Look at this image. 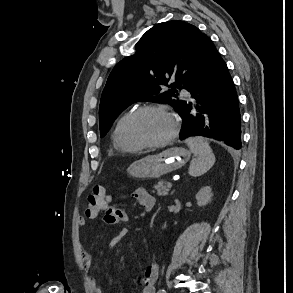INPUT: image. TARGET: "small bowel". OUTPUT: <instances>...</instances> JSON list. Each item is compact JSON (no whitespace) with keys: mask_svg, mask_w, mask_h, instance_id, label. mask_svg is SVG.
Returning a JSON list of instances; mask_svg holds the SVG:
<instances>
[{"mask_svg":"<svg viewBox=\"0 0 293 293\" xmlns=\"http://www.w3.org/2000/svg\"><path fill=\"white\" fill-rule=\"evenodd\" d=\"M131 197L137 200L146 212H150L155 207V198L148 193L144 188L137 187L131 192ZM104 220L108 224H116L119 222L130 221L129 215L121 208L111 206L104 213ZM80 225L84 226L85 221L80 220ZM128 229L122 228L118 234L113 236L109 241V247L115 248L122 239L127 235ZM80 254L84 262V268L89 271L92 264V257L85 247L80 246ZM159 266L157 263H153L148 266L141 276L142 293H155V282L158 276ZM89 282L95 293H105L104 289L98 284L94 277L89 278Z\"/></svg>","mask_w":293,"mask_h":293,"instance_id":"obj_1","label":"small bowel"}]
</instances>
